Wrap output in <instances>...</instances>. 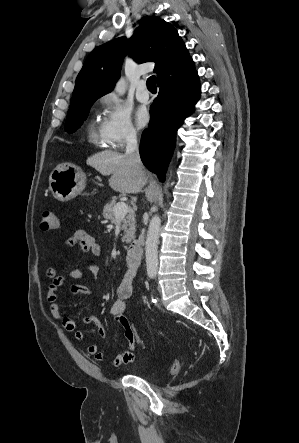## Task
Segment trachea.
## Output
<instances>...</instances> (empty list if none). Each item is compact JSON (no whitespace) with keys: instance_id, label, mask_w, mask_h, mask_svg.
Returning a JSON list of instances; mask_svg holds the SVG:
<instances>
[{"instance_id":"3493384b","label":"trachea","mask_w":299,"mask_h":443,"mask_svg":"<svg viewBox=\"0 0 299 443\" xmlns=\"http://www.w3.org/2000/svg\"><path fill=\"white\" fill-rule=\"evenodd\" d=\"M147 88L149 91L151 92H156L157 91V86H156V77L155 75L150 76L147 79Z\"/></svg>"}]
</instances>
